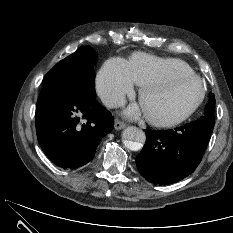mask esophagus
Here are the masks:
<instances>
[{
	"label": "esophagus",
	"mask_w": 233,
	"mask_h": 233,
	"mask_svg": "<svg viewBox=\"0 0 233 233\" xmlns=\"http://www.w3.org/2000/svg\"><path fill=\"white\" fill-rule=\"evenodd\" d=\"M126 124L122 121H120L119 119H115L114 121V128L116 130H121L123 128H125Z\"/></svg>",
	"instance_id": "1"
}]
</instances>
